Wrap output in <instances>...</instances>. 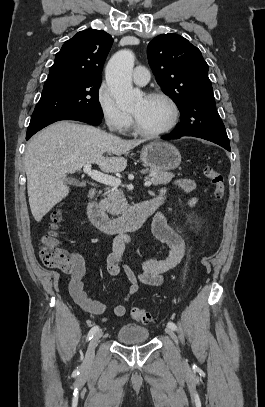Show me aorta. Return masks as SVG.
I'll list each match as a JSON object with an SVG mask.
<instances>
[{"instance_id": "aorta-1", "label": "aorta", "mask_w": 265, "mask_h": 407, "mask_svg": "<svg viewBox=\"0 0 265 407\" xmlns=\"http://www.w3.org/2000/svg\"><path fill=\"white\" fill-rule=\"evenodd\" d=\"M135 56L130 50H121L109 60L106 70V82L118 107H132L141 99L140 90L132 87V70Z\"/></svg>"}]
</instances>
